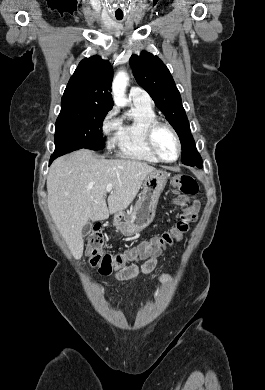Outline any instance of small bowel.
I'll use <instances>...</instances> for the list:
<instances>
[{"label": "small bowel", "instance_id": "c3829d8e", "mask_svg": "<svg viewBox=\"0 0 265 390\" xmlns=\"http://www.w3.org/2000/svg\"><path fill=\"white\" fill-rule=\"evenodd\" d=\"M174 201L177 205H180V206H183L186 204V200L182 199V198H176ZM159 255L160 254L149 258L148 260H146L143 264H141L139 266L138 265H130V266H127L126 268H124L120 271H117L115 274L116 279H118L120 281L133 280L134 278H136L137 276H139L141 274L151 273L157 265V262H158L157 258ZM168 279H169V276L166 274L160 276L161 282H166Z\"/></svg>", "mask_w": 265, "mask_h": 390}]
</instances>
